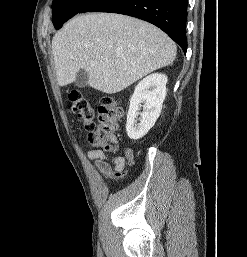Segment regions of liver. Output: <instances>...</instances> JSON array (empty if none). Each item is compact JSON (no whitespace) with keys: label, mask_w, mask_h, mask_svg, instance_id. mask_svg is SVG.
<instances>
[{"label":"liver","mask_w":247,"mask_h":257,"mask_svg":"<svg viewBox=\"0 0 247 257\" xmlns=\"http://www.w3.org/2000/svg\"><path fill=\"white\" fill-rule=\"evenodd\" d=\"M58 84L88 73L90 87L118 93L147 74L173 63L177 48L154 25L115 13H89L68 21L52 39Z\"/></svg>","instance_id":"obj_1"}]
</instances>
